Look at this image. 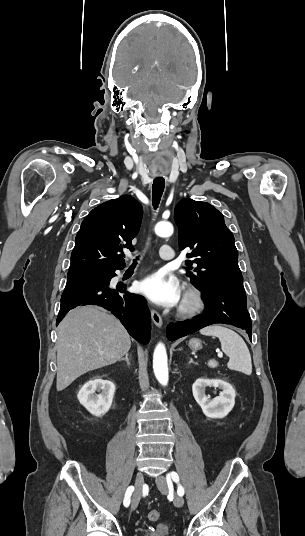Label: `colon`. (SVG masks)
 Wrapping results in <instances>:
<instances>
[{
    "label": "colon",
    "mask_w": 305,
    "mask_h": 536,
    "mask_svg": "<svg viewBox=\"0 0 305 536\" xmlns=\"http://www.w3.org/2000/svg\"><path fill=\"white\" fill-rule=\"evenodd\" d=\"M160 518V513L157 510H152L148 513V519L150 521H157Z\"/></svg>",
    "instance_id": "5ec220e1"
}]
</instances>
